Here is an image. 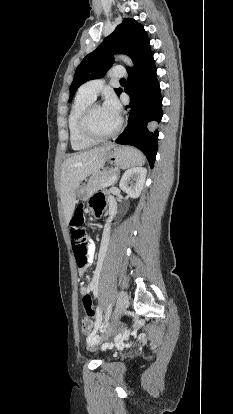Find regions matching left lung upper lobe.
Masks as SVG:
<instances>
[{
  "mask_svg": "<svg viewBox=\"0 0 233 414\" xmlns=\"http://www.w3.org/2000/svg\"><path fill=\"white\" fill-rule=\"evenodd\" d=\"M115 53L130 56L134 63V69L152 54L146 31L134 19H124L112 34L106 37L93 52L83 59L75 71L70 86L69 102L72 101L81 84L104 76L113 63V54ZM132 70L127 68L128 72ZM120 90L115 89L117 94Z\"/></svg>",
  "mask_w": 233,
  "mask_h": 414,
  "instance_id": "1",
  "label": "left lung upper lobe"
}]
</instances>
